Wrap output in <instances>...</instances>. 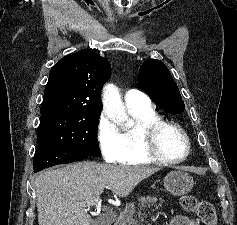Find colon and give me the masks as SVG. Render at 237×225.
<instances>
[{"instance_id":"colon-1","label":"colon","mask_w":237,"mask_h":225,"mask_svg":"<svg viewBox=\"0 0 237 225\" xmlns=\"http://www.w3.org/2000/svg\"><path fill=\"white\" fill-rule=\"evenodd\" d=\"M181 206L188 213L195 212L205 225L217 224L216 210L212 203L199 201L193 195H186L181 198Z\"/></svg>"}]
</instances>
